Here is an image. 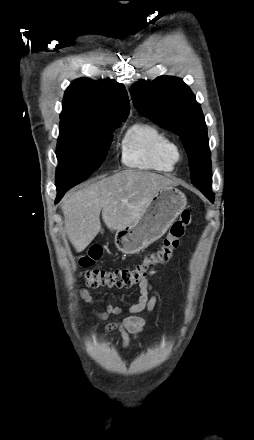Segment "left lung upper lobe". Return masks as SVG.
<instances>
[{"label": "left lung upper lobe", "instance_id": "1", "mask_svg": "<svg viewBox=\"0 0 254 440\" xmlns=\"http://www.w3.org/2000/svg\"><path fill=\"white\" fill-rule=\"evenodd\" d=\"M130 93L137 110L180 136L189 157L192 184L214 202L207 127L189 87L180 78L159 76L151 82L138 81Z\"/></svg>", "mask_w": 254, "mask_h": 440}]
</instances>
